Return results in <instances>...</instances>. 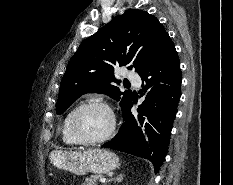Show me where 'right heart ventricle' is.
<instances>
[{
    "instance_id": "1",
    "label": "right heart ventricle",
    "mask_w": 233,
    "mask_h": 185,
    "mask_svg": "<svg viewBox=\"0 0 233 185\" xmlns=\"http://www.w3.org/2000/svg\"><path fill=\"white\" fill-rule=\"evenodd\" d=\"M80 107V105H75L72 107L65 115L62 126H61V134L62 140L67 145H78L79 143L73 138L70 132V120L74 112Z\"/></svg>"
}]
</instances>
